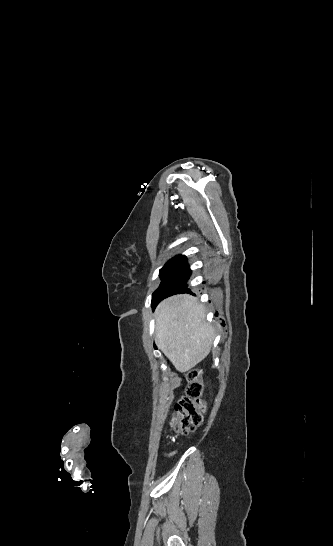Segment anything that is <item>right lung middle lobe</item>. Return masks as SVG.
<instances>
[{
	"label": "right lung middle lobe",
	"mask_w": 333,
	"mask_h": 546,
	"mask_svg": "<svg viewBox=\"0 0 333 546\" xmlns=\"http://www.w3.org/2000/svg\"><path fill=\"white\" fill-rule=\"evenodd\" d=\"M185 256H182V255H178L172 259H170L159 271V275L161 277V279L163 278V276L168 272V270H170L172 267H174L178 262L181 261V259H183Z\"/></svg>",
	"instance_id": "dd1d6c3e"
}]
</instances>
